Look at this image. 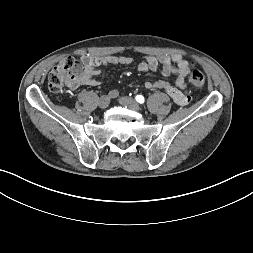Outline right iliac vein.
I'll list each match as a JSON object with an SVG mask.
<instances>
[{"label": "right iliac vein", "mask_w": 253, "mask_h": 253, "mask_svg": "<svg viewBox=\"0 0 253 253\" xmlns=\"http://www.w3.org/2000/svg\"><path fill=\"white\" fill-rule=\"evenodd\" d=\"M109 103H110V98H109V96L103 95V96L100 97L99 103H98V104H99V107H100L101 109H105V108L108 107Z\"/></svg>", "instance_id": "right-iliac-vein-1"}]
</instances>
